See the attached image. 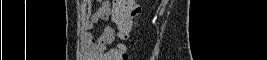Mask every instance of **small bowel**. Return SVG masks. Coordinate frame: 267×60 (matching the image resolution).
Wrapping results in <instances>:
<instances>
[{
  "instance_id": "1",
  "label": "small bowel",
  "mask_w": 267,
  "mask_h": 60,
  "mask_svg": "<svg viewBox=\"0 0 267 60\" xmlns=\"http://www.w3.org/2000/svg\"><path fill=\"white\" fill-rule=\"evenodd\" d=\"M112 10V5L109 2H104L94 13L92 19H89L86 24V30L83 35L86 47L96 56H102L105 48L114 40V30L111 26H106L103 33L97 41L92 36V28L98 19H104Z\"/></svg>"
}]
</instances>
